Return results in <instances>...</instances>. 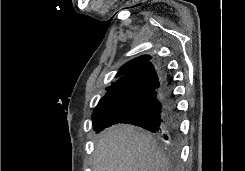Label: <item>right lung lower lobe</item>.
Masks as SVG:
<instances>
[{
  "label": "right lung lower lobe",
  "instance_id": "98d812e1",
  "mask_svg": "<svg viewBox=\"0 0 245 171\" xmlns=\"http://www.w3.org/2000/svg\"><path fill=\"white\" fill-rule=\"evenodd\" d=\"M162 75L164 83L160 89L121 101L95 130L100 132L116 123L134 124L156 133L167 145H174L179 127L177 108L164 68Z\"/></svg>",
  "mask_w": 245,
  "mask_h": 171
}]
</instances>
